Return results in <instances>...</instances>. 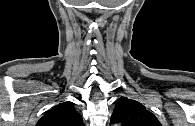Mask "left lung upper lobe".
<instances>
[{
    "label": "left lung upper lobe",
    "instance_id": "1",
    "mask_svg": "<svg viewBox=\"0 0 195 126\" xmlns=\"http://www.w3.org/2000/svg\"><path fill=\"white\" fill-rule=\"evenodd\" d=\"M111 122L122 126H162L155 115L141 103L127 97H121L116 102Z\"/></svg>",
    "mask_w": 195,
    "mask_h": 126
}]
</instances>
